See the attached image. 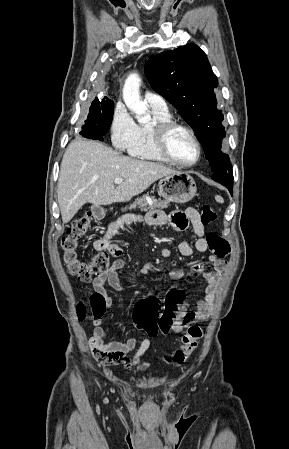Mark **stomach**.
<instances>
[{
  "mask_svg": "<svg viewBox=\"0 0 289 449\" xmlns=\"http://www.w3.org/2000/svg\"><path fill=\"white\" fill-rule=\"evenodd\" d=\"M196 192L194 179L185 172L164 176L159 181V194L166 201L186 203L196 195Z\"/></svg>",
  "mask_w": 289,
  "mask_h": 449,
  "instance_id": "1",
  "label": "stomach"
}]
</instances>
